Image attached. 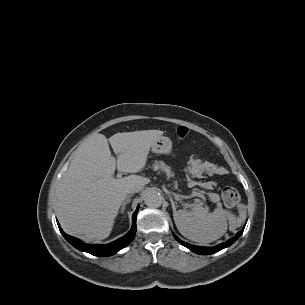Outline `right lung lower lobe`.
<instances>
[{"instance_id": "obj_1", "label": "right lung lower lobe", "mask_w": 305, "mask_h": 305, "mask_svg": "<svg viewBox=\"0 0 305 305\" xmlns=\"http://www.w3.org/2000/svg\"><path fill=\"white\" fill-rule=\"evenodd\" d=\"M138 209L139 207H137L136 211L133 213L132 216V228L131 230L124 235L123 237L119 238L118 240L106 244V245H95V244H85L83 243L81 240L72 237L68 234H66L60 227L59 223H58V227L60 229V232L62 233V235L64 236V238L71 244L73 245L75 248L84 251V252H88L92 255L95 256H111L115 253H117L119 250L123 249L124 247H126L135 237L136 234V216L138 213Z\"/></svg>"}]
</instances>
